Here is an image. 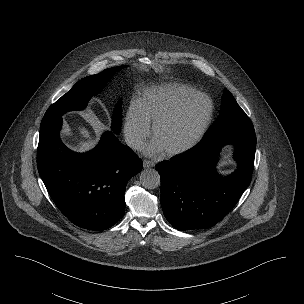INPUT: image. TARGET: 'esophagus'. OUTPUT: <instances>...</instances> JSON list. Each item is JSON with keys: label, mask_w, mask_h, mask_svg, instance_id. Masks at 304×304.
I'll return each mask as SVG.
<instances>
[{"label": "esophagus", "mask_w": 304, "mask_h": 304, "mask_svg": "<svg viewBox=\"0 0 304 304\" xmlns=\"http://www.w3.org/2000/svg\"><path fill=\"white\" fill-rule=\"evenodd\" d=\"M155 164L153 161H150V160H144L143 161V166L144 168H151L153 167Z\"/></svg>", "instance_id": "34e87169"}]
</instances>
